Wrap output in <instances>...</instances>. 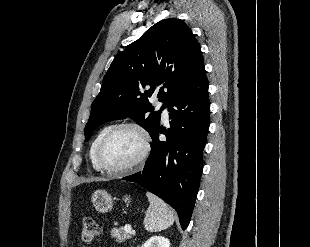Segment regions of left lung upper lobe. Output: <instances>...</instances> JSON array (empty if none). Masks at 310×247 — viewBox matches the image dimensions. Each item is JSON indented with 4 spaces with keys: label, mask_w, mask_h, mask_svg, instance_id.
I'll return each instance as SVG.
<instances>
[{
    "label": "left lung upper lobe",
    "mask_w": 310,
    "mask_h": 247,
    "mask_svg": "<svg viewBox=\"0 0 310 247\" xmlns=\"http://www.w3.org/2000/svg\"><path fill=\"white\" fill-rule=\"evenodd\" d=\"M203 67L200 45L181 20L169 18L149 28L117 54L91 106L85 141L105 122L127 117L152 135L160 124L148 98L167 106L172 97Z\"/></svg>",
    "instance_id": "5c2ea615"
}]
</instances>
